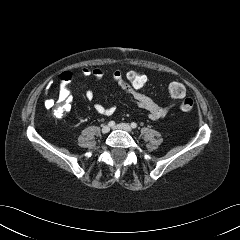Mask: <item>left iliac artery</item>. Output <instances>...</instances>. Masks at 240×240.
<instances>
[{
    "mask_svg": "<svg viewBox=\"0 0 240 240\" xmlns=\"http://www.w3.org/2000/svg\"><path fill=\"white\" fill-rule=\"evenodd\" d=\"M131 127H132V128H136V127H137V124H136L135 122H132V123H131Z\"/></svg>",
    "mask_w": 240,
    "mask_h": 240,
    "instance_id": "1",
    "label": "left iliac artery"
}]
</instances>
